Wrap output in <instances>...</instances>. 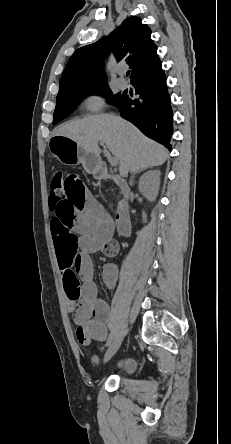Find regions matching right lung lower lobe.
Listing matches in <instances>:
<instances>
[{"mask_svg": "<svg viewBox=\"0 0 231 444\" xmlns=\"http://www.w3.org/2000/svg\"><path fill=\"white\" fill-rule=\"evenodd\" d=\"M132 85L139 98L123 95L114 105L123 118L132 122L145 135L171 149L172 109L161 65L132 80Z\"/></svg>", "mask_w": 231, "mask_h": 444, "instance_id": "right-lung-lower-lobe-1", "label": "right lung lower lobe"}]
</instances>
